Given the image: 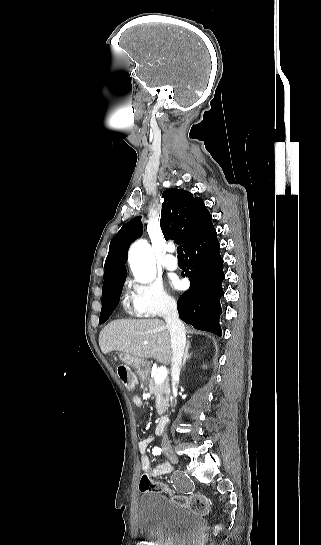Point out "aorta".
<instances>
[{"label": "aorta", "instance_id": "obj_1", "mask_svg": "<svg viewBox=\"0 0 321 545\" xmlns=\"http://www.w3.org/2000/svg\"><path fill=\"white\" fill-rule=\"evenodd\" d=\"M130 268L141 283L151 282L156 274L155 257L150 245L145 240L135 242L129 250Z\"/></svg>", "mask_w": 321, "mask_h": 545}]
</instances>
